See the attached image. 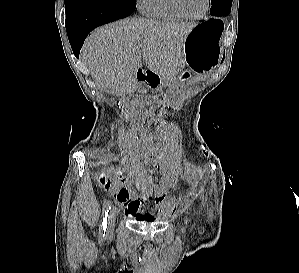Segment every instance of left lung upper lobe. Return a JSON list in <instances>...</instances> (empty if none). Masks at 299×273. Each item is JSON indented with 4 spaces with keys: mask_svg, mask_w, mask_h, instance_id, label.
I'll return each mask as SVG.
<instances>
[{
    "mask_svg": "<svg viewBox=\"0 0 299 273\" xmlns=\"http://www.w3.org/2000/svg\"><path fill=\"white\" fill-rule=\"evenodd\" d=\"M210 14L214 16L227 15L231 11L232 0H211Z\"/></svg>",
    "mask_w": 299,
    "mask_h": 273,
    "instance_id": "1",
    "label": "left lung upper lobe"
}]
</instances>
